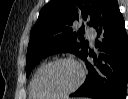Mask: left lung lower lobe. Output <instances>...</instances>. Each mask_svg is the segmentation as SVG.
I'll return each instance as SVG.
<instances>
[{
  "label": "left lung lower lobe",
  "mask_w": 128,
  "mask_h": 99,
  "mask_svg": "<svg viewBox=\"0 0 128 99\" xmlns=\"http://www.w3.org/2000/svg\"><path fill=\"white\" fill-rule=\"evenodd\" d=\"M97 37L95 47L83 56L88 75L84 84L71 97H90L94 99H125L128 82V38L124 19L116 0H106L100 18L94 27ZM94 58V63L86 57Z\"/></svg>",
  "instance_id": "obj_1"
}]
</instances>
